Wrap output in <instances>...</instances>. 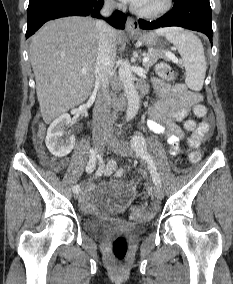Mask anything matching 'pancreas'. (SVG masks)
Segmentation results:
<instances>
[{
  "mask_svg": "<svg viewBox=\"0 0 233 284\" xmlns=\"http://www.w3.org/2000/svg\"><path fill=\"white\" fill-rule=\"evenodd\" d=\"M166 51L165 50H152V51H149L147 53V56L149 57V61L146 62V63H143V66L145 69H149V67H151L153 64L156 63V61L159 59V58H162V59H166V55H165Z\"/></svg>",
  "mask_w": 233,
  "mask_h": 284,
  "instance_id": "1",
  "label": "pancreas"
}]
</instances>
